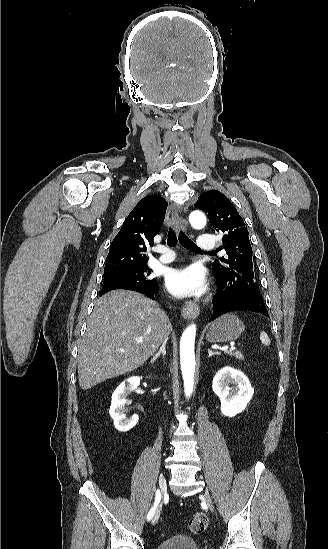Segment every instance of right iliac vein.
Listing matches in <instances>:
<instances>
[{
	"instance_id": "63e3f726",
	"label": "right iliac vein",
	"mask_w": 328,
	"mask_h": 549,
	"mask_svg": "<svg viewBox=\"0 0 328 549\" xmlns=\"http://www.w3.org/2000/svg\"><path fill=\"white\" fill-rule=\"evenodd\" d=\"M159 487L162 494H165L167 491V484H166V478L163 474L159 475ZM160 517V510L156 512V514L153 516L151 523L155 525Z\"/></svg>"
}]
</instances>
